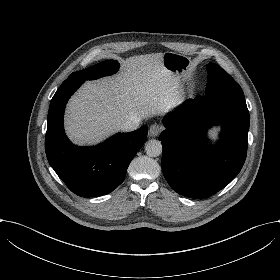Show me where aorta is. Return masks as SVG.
Masks as SVG:
<instances>
[{"instance_id":"obj_1","label":"aorta","mask_w":280,"mask_h":280,"mask_svg":"<svg viewBox=\"0 0 280 280\" xmlns=\"http://www.w3.org/2000/svg\"><path fill=\"white\" fill-rule=\"evenodd\" d=\"M145 152L149 157H157L162 153V144L159 140L151 139L145 144Z\"/></svg>"}]
</instances>
